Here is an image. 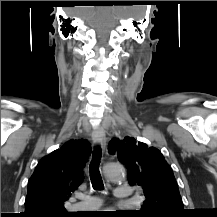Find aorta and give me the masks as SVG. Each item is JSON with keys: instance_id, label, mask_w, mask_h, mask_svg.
<instances>
[{"instance_id": "762f6f07", "label": "aorta", "mask_w": 217, "mask_h": 217, "mask_svg": "<svg viewBox=\"0 0 217 217\" xmlns=\"http://www.w3.org/2000/svg\"><path fill=\"white\" fill-rule=\"evenodd\" d=\"M104 174L109 181H120L124 178V168L117 163H108L103 168Z\"/></svg>"}]
</instances>
